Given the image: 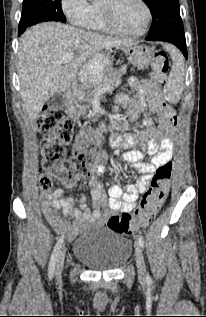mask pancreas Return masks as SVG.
Returning <instances> with one entry per match:
<instances>
[{
	"mask_svg": "<svg viewBox=\"0 0 206 317\" xmlns=\"http://www.w3.org/2000/svg\"><path fill=\"white\" fill-rule=\"evenodd\" d=\"M126 71V67H121L120 69H113L109 74L104 73L101 77L99 83H94V86H82L71 103L73 107V112L77 115H84L89 109L90 104L96 98L97 93L101 96L104 93H114L115 88H117L122 82V76ZM81 97L83 99L81 100Z\"/></svg>",
	"mask_w": 206,
	"mask_h": 317,
	"instance_id": "cf45deb5",
	"label": "pancreas"
}]
</instances>
